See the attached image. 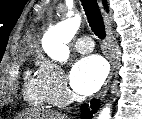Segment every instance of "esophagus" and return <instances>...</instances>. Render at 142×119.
Wrapping results in <instances>:
<instances>
[{
	"instance_id": "esophagus-1",
	"label": "esophagus",
	"mask_w": 142,
	"mask_h": 119,
	"mask_svg": "<svg viewBox=\"0 0 142 119\" xmlns=\"http://www.w3.org/2000/svg\"><path fill=\"white\" fill-rule=\"evenodd\" d=\"M100 6L102 7V12L104 15V22H105V27H106L107 58L110 62L111 70H110L109 76H108L102 90L100 91V93L98 95L99 99L103 98L106 95V93L108 92L111 82H112V78L115 73V67H116L115 66V49H114L113 36H112V22H111L109 15L103 9L102 3H100Z\"/></svg>"
}]
</instances>
